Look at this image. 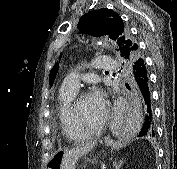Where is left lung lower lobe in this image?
Listing matches in <instances>:
<instances>
[{
  "label": "left lung lower lobe",
  "instance_id": "left-lung-lower-lobe-1",
  "mask_svg": "<svg viewBox=\"0 0 177 169\" xmlns=\"http://www.w3.org/2000/svg\"><path fill=\"white\" fill-rule=\"evenodd\" d=\"M136 49L137 46L133 45L131 51H135ZM128 68L132 71L134 80L136 82V91L144 108V123L138 136L154 137L155 128L146 63L143 58L139 57L135 59L131 64L128 63Z\"/></svg>",
  "mask_w": 177,
  "mask_h": 169
}]
</instances>
